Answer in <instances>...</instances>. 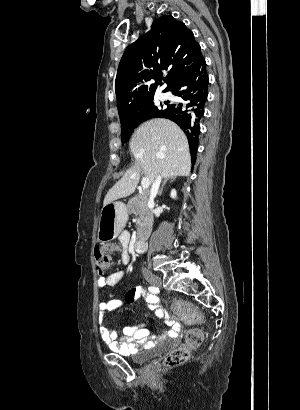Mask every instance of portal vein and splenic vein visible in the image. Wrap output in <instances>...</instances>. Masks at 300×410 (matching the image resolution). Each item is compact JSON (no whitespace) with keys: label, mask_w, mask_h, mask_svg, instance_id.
<instances>
[{"label":"portal vein and splenic vein","mask_w":300,"mask_h":410,"mask_svg":"<svg viewBox=\"0 0 300 410\" xmlns=\"http://www.w3.org/2000/svg\"><path fill=\"white\" fill-rule=\"evenodd\" d=\"M150 186V180L144 177L141 181V187L143 190H146Z\"/></svg>","instance_id":"18ae733b"}]
</instances>
